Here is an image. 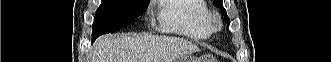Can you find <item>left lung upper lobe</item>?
<instances>
[{
  "mask_svg": "<svg viewBox=\"0 0 331 62\" xmlns=\"http://www.w3.org/2000/svg\"><path fill=\"white\" fill-rule=\"evenodd\" d=\"M215 2L217 3L218 7L220 8V10L222 11L223 15L225 16L228 24L230 23L229 17L227 16L226 10L224 9L223 5H222V0H215Z\"/></svg>",
  "mask_w": 331,
  "mask_h": 62,
  "instance_id": "5c2ea615",
  "label": "left lung upper lobe"
}]
</instances>
